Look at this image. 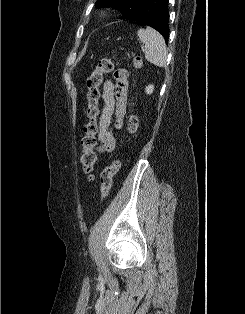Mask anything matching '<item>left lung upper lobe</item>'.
Returning <instances> with one entry per match:
<instances>
[{"instance_id":"obj_1","label":"left lung upper lobe","mask_w":245,"mask_h":314,"mask_svg":"<svg viewBox=\"0 0 245 314\" xmlns=\"http://www.w3.org/2000/svg\"><path fill=\"white\" fill-rule=\"evenodd\" d=\"M145 0H97L96 8L113 7L122 13L121 19L128 20L134 16Z\"/></svg>"}]
</instances>
